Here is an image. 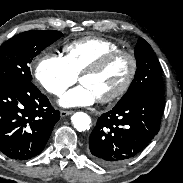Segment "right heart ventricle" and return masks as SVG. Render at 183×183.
Returning a JSON list of instances; mask_svg holds the SVG:
<instances>
[{
  "label": "right heart ventricle",
  "mask_w": 183,
  "mask_h": 183,
  "mask_svg": "<svg viewBox=\"0 0 183 183\" xmlns=\"http://www.w3.org/2000/svg\"><path fill=\"white\" fill-rule=\"evenodd\" d=\"M118 49V44L109 39L86 37L65 45L63 57L72 72L78 76L101 57Z\"/></svg>",
  "instance_id": "right-heart-ventricle-1"
}]
</instances>
